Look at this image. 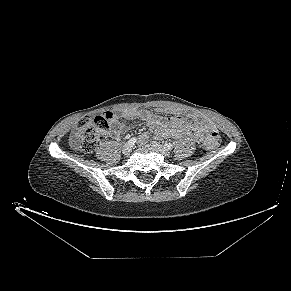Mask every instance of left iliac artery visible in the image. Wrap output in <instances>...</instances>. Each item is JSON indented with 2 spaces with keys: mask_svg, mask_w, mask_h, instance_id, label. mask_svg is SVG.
Returning <instances> with one entry per match:
<instances>
[{
  "mask_svg": "<svg viewBox=\"0 0 291 291\" xmlns=\"http://www.w3.org/2000/svg\"><path fill=\"white\" fill-rule=\"evenodd\" d=\"M165 148L171 150L173 148V145L171 143H165L164 144Z\"/></svg>",
  "mask_w": 291,
  "mask_h": 291,
  "instance_id": "44dca946",
  "label": "left iliac artery"
}]
</instances>
